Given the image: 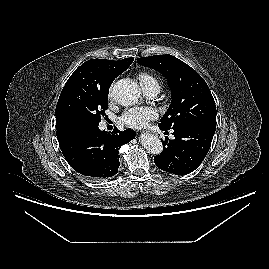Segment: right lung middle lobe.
I'll list each match as a JSON object with an SVG mask.
<instances>
[{
  "instance_id": "obj_1",
  "label": "right lung middle lobe",
  "mask_w": 269,
  "mask_h": 269,
  "mask_svg": "<svg viewBox=\"0 0 269 269\" xmlns=\"http://www.w3.org/2000/svg\"><path fill=\"white\" fill-rule=\"evenodd\" d=\"M109 87L66 82L56 106V122L67 127L98 126L108 109Z\"/></svg>"
}]
</instances>
